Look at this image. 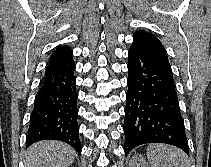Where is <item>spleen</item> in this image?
I'll list each match as a JSON object with an SVG mask.
<instances>
[{
  "instance_id": "obj_1",
  "label": "spleen",
  "mask_w": 211,
  "mask_h": 167,
  "mask_svg": "<svg viewBox=\"0 0 211 167\" xmlns=\"http://www.w3.org/2000/svg\"><path fill=\"white\" fill-rule=\"evenodd\" d=\"M151 167H190L187 155L177 147L151 144L147 148Z\"/></svg>"
}]
</instances>
